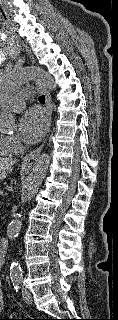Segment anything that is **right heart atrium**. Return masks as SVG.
Masks as SVG:
<instances>
[{"mask_svg": "<svg viewBox=\"0 0 118 320\" xmlns=\"http://www.w3.org/2000/svg\"><path fill=\"white\" fill-rule=\"evenodd\" d=\"M7 142L12 152H16L21 149V143L17 137H14V136L7 137Z\"/></svg>", "mask_w": 118, "mask_h": 320, "instance_id": "1", "label": "right heart atrium"}]
</instances>
